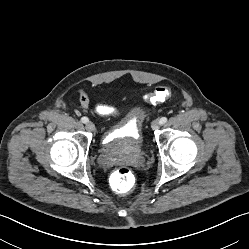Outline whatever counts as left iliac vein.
<instances>
[{
	"mask_svg": "<svg viewBox=\"0 0 249 249\" xmlns=\"http://www.w3.org/2000/svg\"><path fill=\"white\" fill-rule=\"evenodd\" d=\"M160 127V122L158 120H154L152 123H151V128L153 130H156Z\"/></svg>",
	"mask_w": 249,
	"mask_h": 249,
	"instance_id": "obj_1",
	"label": "left iliac vein"
}]
</instances>
